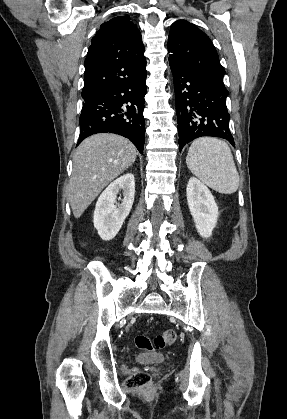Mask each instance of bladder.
Segmentation results:
<instances>
[{
  "label": "bladder",
  "instance_id": "bladder-1",
  "mask_svg": "<svg viewBox=\"0 0 287 419\" xmlns=\"http://www.w3.org/2000/svg\"><path fill=\"white\" fill-rule=\"evenodd\" d=\"M140 361L144 363H160L164 361V357L161 355H149L141 357Z\"/></svg>",
  "mask_w": 287,
  "mask_h": 419
}]
</instances>
